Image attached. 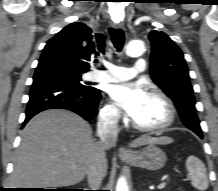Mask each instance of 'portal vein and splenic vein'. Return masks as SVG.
Segmentation results:
<instances>
[{
    "instance_id": "1",
    "label": "portal vein and splenic vein",
    "mask_w": 218,
    "mask_h": 191,
    "mask_svg": "<svg viewBox=\"0 0 218 191\" xmlns=\"http://www.w3.org/2000/svg\"><path fill=\"white\" fill-rule=\"evenodd\" d=\"M165 185H166V183H165V182H162L161 184H159V185L157 186V189H158V190H162V189L165 187Z\"/></svg>"
}]
</instances>
